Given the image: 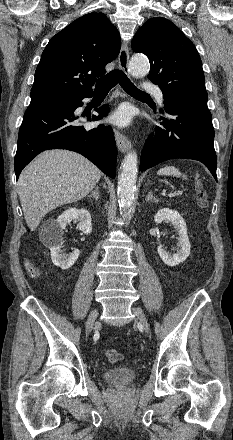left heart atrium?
Here are the masks:
<instances>
[{"mask_svg": "<svg viewBox=\"0 0 233 440\" xmlns=\"http://www.w3.org/2000/svg\"><path fill=\"white\" fill-rule=\"evenodd\" d=\"M131 115L126 107H120L110 117V121L119 126H126L130 123Z\"/></svg>", "mask_w": 233, "mask_h": 440, "instance_id": "1", "label": "left heart atrium"}]
</instances>
